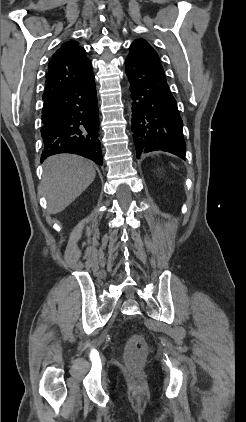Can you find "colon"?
Instances as JSON below:
<instances>
[{
    "label": "colon",
    "mask_w": 246,
    "mask_h": 422,
    "mask_svg": "<svg viewBox=\"0 0 246 422\" xmlns=\"http://www.w3.org/2000/svg\"><path fill=\"white\" fill-rule=\"evenodd\" d=\"M146 354V343L140 335H133L127 342L126 346V359L127 362L136 366L142 362Z\"/></svg>",
    "instance_id": "1"
}]
</instances>
